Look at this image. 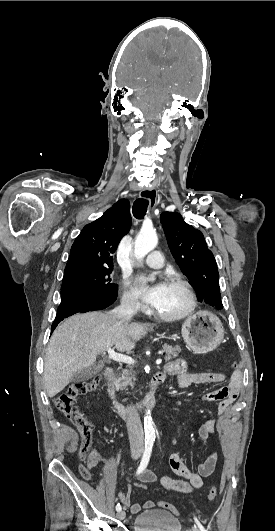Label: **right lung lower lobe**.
<instances>
[{
	"instance_id": "1",
	"label": "right lung lower lobe",
	"mask_w": 275,
	"mask_h": 531,
	"mask_svg": "<svg viewBox=\"0 0 275 531\" xmlns=\"http://www.w3.org/2000/svg\"><path fill=\"white\" fill-rule=\"evenodd\" d=\"M114 301L103 302L85 293L68 292L61 294V303L58 307L56 318L52 324L51 332L63 319L76 313H85L105 309Z\"/></svg>"
}]
</instances>
